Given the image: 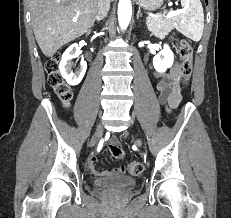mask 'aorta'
<instances>
[{
  "mask_svg": "<svg viewBox=\"0 0 231 218\" xmlns=\"http://www.w3.org/2000/svg\"><path fill=\"white\" fill-rule=\"evenodd\" d=\"M132 15L131 0H119L118 21L122 30L126 29L130 23Z\"/></svg>",
  "mask_w": 231,
  "mask_h": 218,
  "instance_id": "762f6f07",
  "label": "aorta"
}]
</instances>
